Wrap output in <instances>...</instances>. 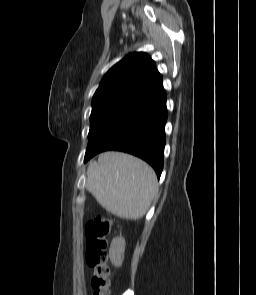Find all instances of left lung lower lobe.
Wrapping results in <instances>:
<instances>
[{"label": "left lung lower lobe", "instance_id": "1", "mask_svg": "<svg viewBox=\"0 0 256 295\" xmlns=\"http://www.w3.org/2000/svg\"><path fill=\"white\" fill-rule=\"evenodd\" d=\"M166 120V93L163 91L87 147L84 162L104 151H123L148 162L159 178L163 170Z\"/></svg>", "mask_w": 256, "mask_h": 295}]
</instances>
